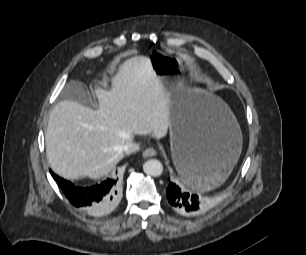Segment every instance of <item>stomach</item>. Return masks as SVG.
Here are the masks:
<instances>
[{"mask_svg":"<svg viewBox=\"0 0 306 255\" xmlns=\"http://www.w3.org/2000/svg\"><path fill=\"white\" fill-rule=\"evenodd\" d=\"M140 50L150 56L169 96L171 154L180 176L183 161L191 160L208 172L198 184L183 179L187 185L201 191L221 185L242 150V133L233 113L219 97L186 83L180 57L161 52L149 41L142 42Z\"/></svg>","mask_w":306,"mask_h":255,"instance_id":"stomach-1","label":"stomach"}]
</instances>
